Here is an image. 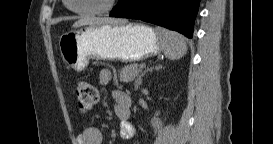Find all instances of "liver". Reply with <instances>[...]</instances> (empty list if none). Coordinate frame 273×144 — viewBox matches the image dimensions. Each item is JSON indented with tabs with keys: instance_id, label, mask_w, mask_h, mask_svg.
<instances>
[{
	"instance_id": "liver-1",
	"label": "liver",
	"mask_w": 273,
	"mask_h": 144,
	"mask_svg": "<svg viewBox=\"0 0 273 144\" xmlns=\"http://www.w3.org/2000/svg\"><path fill=\"white\" fill-rule=\"evenodd\" d=\"M127 21L124 19H112V18H80L73 24L74 28H78L84 25H101V24H112V25H124Z\"/></svg>"
}]
</instances>
